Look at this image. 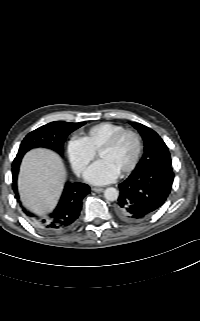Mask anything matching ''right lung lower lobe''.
<instances>
[{
    "instance_id": "obj_1",
    "label": "right lung lower lobe",
    "mask_w": 200,
    "mask_h": 321,
    "mask_svg": "<svg viewBox=\"0 0 200 321\" xmlns=\"http://www.w3.org/2000/svg\"><path fill=\"white\" fill-rule=\"evenodd\" d=\"M22 157V155L16 156L12 164V186L17 199H19L17 177ZM89 193L90 187L88 185L78 182H67L57 207L47 216H37L25 208H23V211L42 230L49 233L61 232L69 228L78 218L82 208V200Z\"/></svg>"
}]
</instances>
